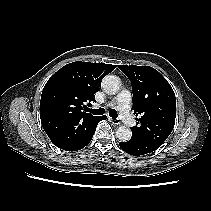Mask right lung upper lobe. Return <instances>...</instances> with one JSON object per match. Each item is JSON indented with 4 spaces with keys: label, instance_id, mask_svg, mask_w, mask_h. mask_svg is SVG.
<instances>
[{
    "label": "right lung upper lobe",
    "instance_id": "1",
    "mask_svg": "<svg viewBox=\"0 0 211 211\" xmlns=\"http://www.w3.org/2000/svg\"><path fill=\"white\" fill-rule=\"evenodd\" d=\"M115 67L104 63L73 62L47 81L41 95L40 119L55 146L70 147L98 119L83 109L93 101L103 77Z\"/></svg>",
    "mask_w": 211,
    "mask_h": 211
}]
</instances>
